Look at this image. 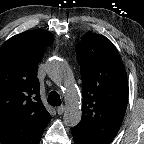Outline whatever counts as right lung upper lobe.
Masks as SVG:
<instances>
[{
  "instance_id": "right-lung-upper-lobe-1",
  "label": "right lung upper lobe",
  "mask_w": 144,
  "mask_h": 144,
  "mask_svg": "<svg viewBox=\"0 0 144 144\" xmlns=\"http://www.w3.org/2000/svg\"><path fill=\"white\" fill-rule=\"evenodd\" d=\"M54 41L46 30L15 35L0 48V142L39 144L51 120L40 98L37 65Z\"/></svg>"
}]
</instances>
